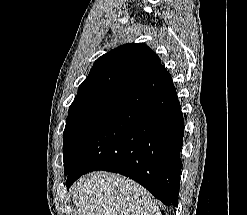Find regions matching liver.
Masks as SVG:
<instances>
[{"label":"liver","instance_id":"liver-1","mask_svg":"<svg viewBox=\"0 0 247 215\" xmlns=\"http://www.w3.org/2000/svg\"><path fill=\"white\" fill-rule=\"evenodd\" d=\"M79 215H161L141 185L117 174L94 172L71 187Z\"/></svg>","mask_w":247,"mask_h":215}]
</instances>
